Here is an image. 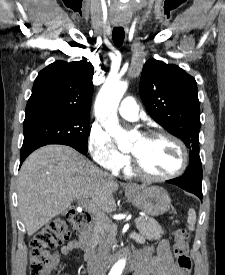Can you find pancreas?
<instances>
[{
    "label": "pancreas",
    "mask_w": 225,
    "mask_h": 275,
    "mask_svg": "<svg viewBox=\"0 0 225 275\" xmlns=\"http://www.w3.org/2000/svg\"><path fill=\"white\" fill-rule=\"evenodd\" d=\"M142 220L136 224L140 234L148 240H159L164 234V230L158 222L152 218L141 217ZM117 226L110 221H95L92 227V241L98 244L106 236L107 241L113 242L116 235Z\"/></svg>",
    "instance_id": "1"
}]
</instances>
